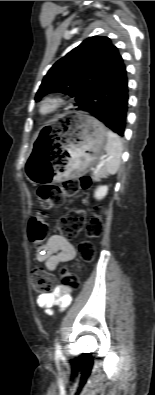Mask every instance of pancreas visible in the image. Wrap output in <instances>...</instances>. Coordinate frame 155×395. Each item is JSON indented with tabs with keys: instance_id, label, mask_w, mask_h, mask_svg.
<instances>
[{
	"instance_id": "1",
	"label": "pancreas",
	"mask_w": 155,
	"mask_h": 395,
	"mask_svg": "<svg viewBox=\"0 0 155 395\" xmlns=\"http://www.w3.org/2000/svg\"><path fill=\"white\" fill-rule=\"evenodd\" d=\"M106 177V172L105 170H99V171H95L92 175V179L93 180H99L100 178Z\"/></svg>"
}]
</instances>
